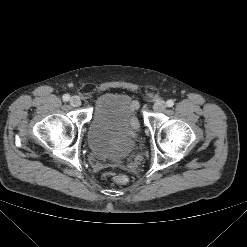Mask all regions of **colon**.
<instances>
[{
    "label": "colon",
    "mask_w": 247,
    "mask_h": 247,
    "mask_svg": "<svg viewBox=\"0 0 247 247\" xmlns=\"http://www.w3.org/2000/svg\"><path fill=\"white\" fill-rule=\"evenodd\" d=\"M114 181L119 185H124L129 181V178L124 174H117L114 177Z\"/></svg>",
    "instance_id": "colon-1"
}]
</instances>
